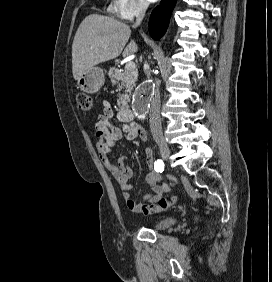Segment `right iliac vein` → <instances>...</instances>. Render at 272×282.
<instances>
[{
	"mask_svg": "<svg viewBox=\"0 0 272 282\" xmlns=\"http://www.w3.org/2000/svg\"><path fill=\"white\" fill-rule=\"evenodd\" d=\"M157 144H158L162 158L164 160H169L170 155H171V151H170V148L167 145V143L163 140H160V141L157 142Z\"/></svg>",
	"mask_w": 272,
	"mask_h": 282,
	"instance_id": "63e3f726",
	"label": "right iliac vein"
}]
</instances>
